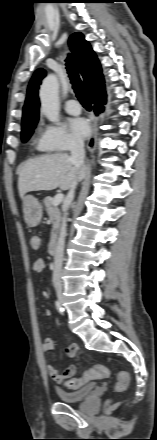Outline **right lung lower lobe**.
<instances>
[{
    "instance_id": "1",
    "label": "right lung lower lobe",
    "mask_w": 157,
    "mask_h": 440,
    "mask_svg": "<svg viewBox=\"0 0 157 440\" xmlns=\"http://www.w3.org/2000/svg\"><path fill=\"white\" fill-rule=\"evenodd\" d=\"M92 103L95 105L94 106V111L96 114L100 113L103 111V106L106 102V95L102 96V97H96V98H91Z\"/></svg>"
}]
</instances>
